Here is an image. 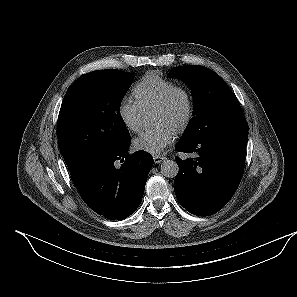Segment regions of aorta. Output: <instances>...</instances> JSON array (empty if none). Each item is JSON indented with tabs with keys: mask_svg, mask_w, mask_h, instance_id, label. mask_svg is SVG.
I'll use <instances>...</instances> for the list:
<instances>
[{
	"mask_svg": "<svg viewBox=\"0 0 297 297\" xmlns=\"http://www.w3.org/2000/svg\"><path fill=\"white\" fill-rule=\"evenodd\" d=\"M154 115H145L143 117V123L145 125H150L154 122ZM179 167L177 163L173 160H164L161 164V173L168 178H173L178 174Z\"/></svg>",
	"mask_w": 297,
	"mask_h": 297,
	"instance_id": "1",
	"label": "aorta"
}]
</instances>
